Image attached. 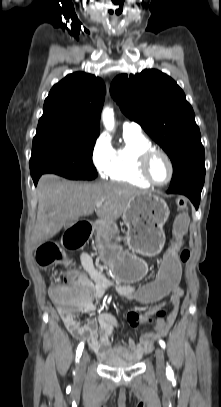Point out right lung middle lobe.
I'll use <instances>...</instances> for the list:
<instances>
[{
	"mask_svg": "<svg viewBox=\"0 0 221 407\" xmlns=\"http://www.w3.org/2000/svg\"><path fill=\"white\" fill-rule=\"evenodd\" d=\"M96 139L65 131L37 132L30 159L31 175L55 173L73 180L96 178L92 162Z\"/></svg>",
	"mask_w": 221,
	"mask_h": 407,
	"instance_id": "dd1d6c3e",
	"label": "right lung middle lobe"
}]
</instances>
